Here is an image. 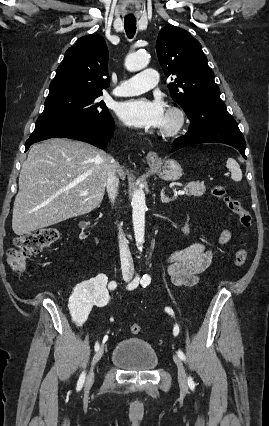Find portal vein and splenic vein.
<instances>
[{"instance_id": "18ae733b", "label": "portal vein and splenic vein", "mask_w": 269, "mask_h": 426, "mask_svg": "<svg viewBox=\"0 0 269 426\" xmlns=\"http://www.w3.org/2000/svg\"><path fill=\"white\" fill-rule=\"evenodd\" d=\"M177 194H178V195H184V194H185V191H184V190H180V191H178V192H177ZM80 195H81V196H87V195H88V191H82V192L80 193Z\"/></svg>"}]
</instances>
